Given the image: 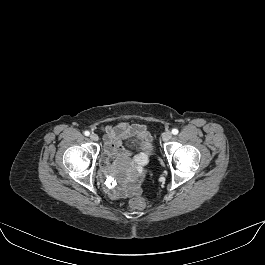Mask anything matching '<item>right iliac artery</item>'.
Instances as JSON below:
<instances>
[{"label": "right iliac artery", "instance_id": "82829eb1", "mask_svg": "<svg viewBox=\"0 0 265 265\" xmlns=\"http://www.w3.org/2000/svg\"><path fill=\"white\" fill-rule=\"evenodd\" d=\"M84 135H85V136H89V135H90V132H89V131H85V132H84Z\"/></svg>", "mask_w": 265, "mask_h": 265}]
</instances>
